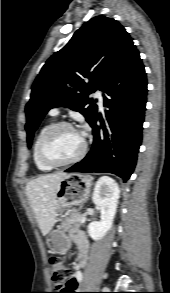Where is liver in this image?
I'll return each mask as SVG.
<instances>
[{
	"mask_svg": "<svg viewBox=\"0 0 170 293\" xmlns=\"http://www.w3.org/2000/svg\"><path fill=\"white\" fill-rule=\"evenodd\" d=\"M66 175L65 172L42 175L26 185V195L43 236L52 230L56 222V192Z\"/></svg>",
	"mask_w": 170,
	"mask_h": 293,
	"instance_id": "liver-1",
	"label": "liver"
}]
</instances>
